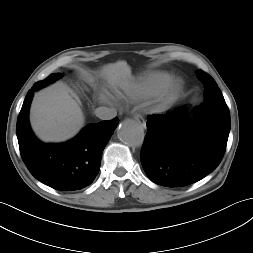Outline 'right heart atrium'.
<instances>
[{"mask_svg": "<svg viewBox=\"0 0 253 253\" xmlns=\"http://www.w3.org/2000/svg\"><path fill=\"white\" fill-rule=\"evenodd\" d=\"M102 99L105 100V101L107 100L105 97H102Z\"/></svg>", "mask_w": 253, "mask_h": 253, "instance_id": "1", "label": "right heart atrium"}]
</instances>
